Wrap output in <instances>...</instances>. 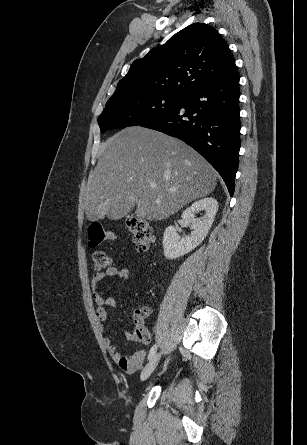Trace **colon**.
<instances>
[{"label":"colon","mask_w":307,"mask_h":445,"mask_svg":"<svg viewBox=\"0 0 307 445\" xmlns=\"http://www.w3.org/2000/svg\"><path fill=\"white\" fill-rule=\"evenodd\" d=\"M126 223L137 250L139 252H147L151 243L154 241V234L148 223L136 216H129ZM114 239L115 234L112 231L106 230L100 222L94 221L89 225L87 239L89 247L95 248L103 242ZM93 260L97 270H106L112 266L111 257L105 251H95ZM148 315V308L136 309L133 312L132 318L136 328L135 331L132 332V340L141 343L149 342V334L144 325Z\"/></svg>","instance_id":"obj_1"}]
</instances>
